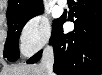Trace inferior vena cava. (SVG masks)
Returning a JSON list of instances; mask_svg holds the SVG:
<instances>
[{
  "instance_id": "inferior-vena-cava-1",
  "label": "inferior vena cava",
  "mask_w": 102,
  "mask_h": 75,
  "mask_svg": "<svg viewBox=\"0 0 102 75\" xmlns=\"http://www.w3.org/2000/svg\"><path fill=\"white\" fill-rule=\"evenodd\" d=\"M54 52L51 46H47L41 58V65L46 69L48 75H53Z\"/></svg>"
}]
</instances>
